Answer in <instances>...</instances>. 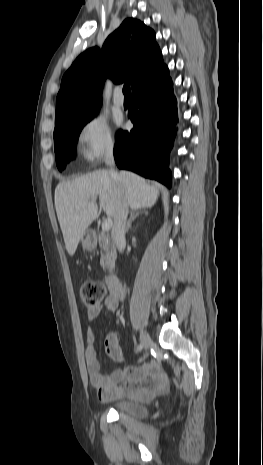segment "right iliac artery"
Instances as JSON below:
<instances>
[{
  "mask_svg": "<svg viewBox=\"0 0 263 465\" xmlns=\"http://www.w3.org/2000/svg\"><path fill=\"white\" fill-rule=\"evenodd\" d=\"M142 348H143L142 345L139 344V345L137 346V348H136V351H140V350H142Z\"/></svg>",
  "mask_w": 263,
  "mask_h": 465,
  "instance_id": "82829eb1",
  "label": "right iliac artery"
}]
</instances>
